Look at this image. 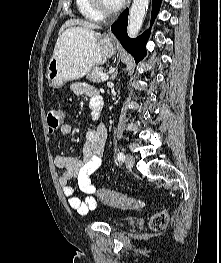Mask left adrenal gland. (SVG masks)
Instances as JSON below:
<instances>
[{
	"label": "left adrenal gland",
	"instance_id": "1",
	"mask_svg": "<svg viewBox=\"0 0 221 263\" xmlns=\"http://www.w3.org/2000/svg\"><path fill=\"white\" fill-rule=\"evenodd\" d=\"M117 74H118V71L116 70L114 73H113V75H112V80H114L116 77H117Z\"/></svg>",
	"mask_w": 221,
	"mask_h": 263
}]
</instances>
